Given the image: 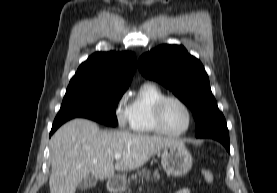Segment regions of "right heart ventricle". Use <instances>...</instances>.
<instances>
[{"label":"right heart ventricle","mask_w":277,"mask_h":193,"mask_svg":"<svg viewBox=\"0 0 277 193\" xmlns=\"http://www.w3.org/2000/svg\"><path fill=\"white\" fill-rule=\"evenodd\" d=\"M166 96L157 85L143 84L127 106L129 126L133 132L140 134H158L154 121L156 103Z\"/></svg>","instance_id":"right-heart-ventricle-1"}]
</instances>
